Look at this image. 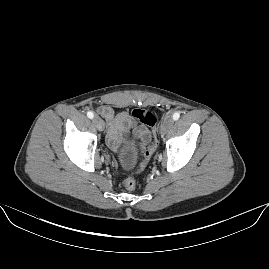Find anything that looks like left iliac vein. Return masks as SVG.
Segmentation results:
<instances>
[{
	"label": "left iliac vein",
	"instance_id": "4c4485c4",
	"mask_svg": "<svg viewBox=\"0 0 269 269\" xmlns=\"http://www.w3.org/2000/svg\"><path fill=\"white\" fill-rule=\"evenodd\" d=\"M173 124L174 120L171 117H167L161 124V134H166L172 128Z\"/></svg>",
	"mask_w": 269,
	"mask_h": 269
}]
</instances>
